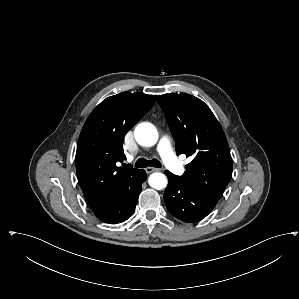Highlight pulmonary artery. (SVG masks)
<instances>
[{"label":"pulmonary artery","mask_w":299,"mask_h":299,"mask_svg":"<svg viewBox=\"0 0 299 299\" xmlns=\"http://www.w3.org/2000/svg\"><path fill=\"white\" fill-rule=\"evenodd\" d=\"M157 149L165 166L175 175H182L184 167L175 155L169 137L162 136Z\"/></svg>","instance_id":"pulmonary-artery-1"}]
</instances>
